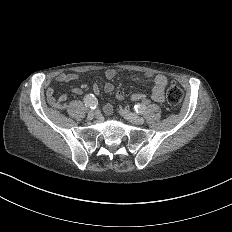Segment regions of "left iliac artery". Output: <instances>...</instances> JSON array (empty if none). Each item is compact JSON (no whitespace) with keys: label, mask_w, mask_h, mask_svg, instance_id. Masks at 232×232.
I'll return each mask as SVG.
<instances>
[{"label":"left iliac artery","mask_w":232,"mask_h":232,"mask_svg":"<svg viewBox=\"0 0 232 232\" xmlns=\"http://www.w3.org/2000/svg\"><path fill=\"white\" fill-rule=\"evenodd\" d=\"M134 111L138 114H143L144 111L146 110V106L145 105H141V104H137L134 105Z\"/></svg>","instance_id":"44dca946"}]
</instances>
